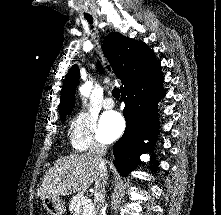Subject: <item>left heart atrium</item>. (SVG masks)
<instances>
[{
    "label": "left heart atrium",
    "mask_w": 221,
    "mask_h": 215,
    "mask_svg": "<svg viewBox=\"0 0 221 215\" xmlns=\"http://www.w3.org/2000/svg\"><path fill=\"white\" fill-rule=\"evenodd\" d=\"M124 127L123 117L115 111L104 113L100 119V133L106 141L116 139L123 132Z\"/></svg>",
    "instance_id": "1"
}]
</instances>
